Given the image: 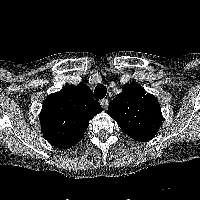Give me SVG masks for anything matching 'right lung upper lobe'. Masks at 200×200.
<instances>
[{"label": "right lung upper lobe", "instance_id": "right-lung-upper-lobe-1", "mask_svg": "<svg viewBox=\"0 0 200 200\" xmlns=\"http://www.w3.org/2000/svg\"><path fill=\"white\" fill-rule=\"evenodd\" d=\"M102 109L84 85L68 86L51 94L41 112L46 139L56 147H70L84 134L89 120Z\"/></svg>", "mask_w": 200, "mask_h": 200}]
</instances>
